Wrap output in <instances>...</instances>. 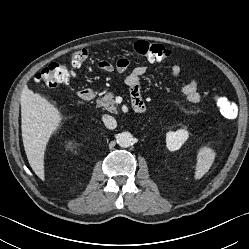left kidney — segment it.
I'll use <instances>...</instances> for the list:
<instances>
[{
	"instance_id": "obj_1",
	"label": "left kidney",
	"mask_w": 249,
	"mask_h": 249,
	"mask_svg": "<svg viewBox=\"0 0 249 249\" xmlns=\"http://www.w3.org/2000/svg\"><path fill=\"white\" fill-rule=\"evenodd\" d=\"M189 133L185 129L177 131H169L166 134V146L170 151H176L184 144L188 139Z\"/></svg>"
}]
</instances>
